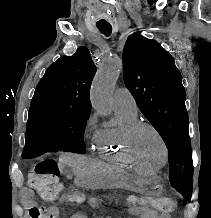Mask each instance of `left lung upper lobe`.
Instances as JSON below:
<instances>
[{
	"mask_svg": "<svg viewBox=\"0 0 211 218\" xmlns=\"http://www.w3.org/2000/svg\"><path fill=\"white\" fill-rule=\"evenodd\" d=\"M123 77L141 112L167 145L171 185L190 200L193 163L186 95L174 59L155 40L133 33L123 50Z\"/></svg>",
	"mask_w": 211,
	"mask_h": 218,
	"instance_id": "obj_1",
	"label": "left lung upper lobe"
}]
</instances>
